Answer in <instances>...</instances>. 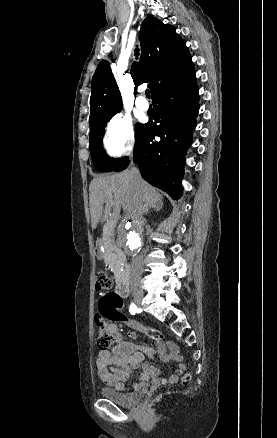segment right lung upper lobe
Returning <instances> with one entry per match:
<instances>
[{
  "instance_id": "1",
  "label": "right lung upper lobe",
  "mask_w": 277,
  "mask_h": 438,
  "mask_svg": "<svg viewBox=\"0 0 277 438\" xmlns=\"http://www.w3.org/2000/svg\"><path fill=\"white\" fill-rule=\"evenodd\" d=\"M139 40L142 56L139 63L132 65L131 76L135 85L149 82L152 96L164 84L194 68L186 41L173 26L149 17L142 23ZM90 108L89 124L109 121L122 109L121 94L108 61H101L93 75Z\"/></svg>"
}]
</instances>
